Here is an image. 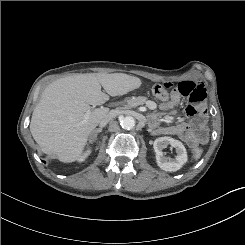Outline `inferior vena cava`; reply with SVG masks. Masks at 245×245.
Here are the masks:
<instances>
[{
  "mask_svg": "<svg viewBox=\"0 0 245 245\" xmlns=\"http://www.w3.org/2000/svg\"><path fill=\"white\" fill-rule=\"evenodd\" d=\"M114 113L113 112H109L101 121L99 126L100 127H104L110 120H112L114 118Z\"/></svg>",
  "mask_w": 245,
  "mask_h": 245,
  "instance_id": "602c4592",
  "label": "inferior vena cava"
}]
</instances>
